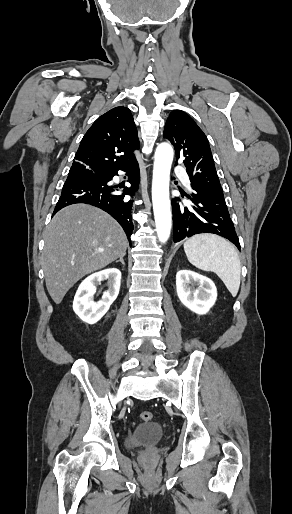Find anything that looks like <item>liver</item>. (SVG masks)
Returning a JSON list of instances; mask_svg holds the SVG:
<instances>
[{"mask_svg": "<svg viewBox=\"0 0 292 514\" xmlns=\"http://www.w3.org/2000/svg\"><path fill=\"white\" fill-rule=\"evenodd\" d=\"M43 236L42 270L55 304H61L68 290L83 276L125 256L128 246L118 222L87 204L60 210Z\"/></svg>", "mask_w": 292, "mask_h": 514, "instance_id": "liver-1", "label": "liver"}]
</instances>
